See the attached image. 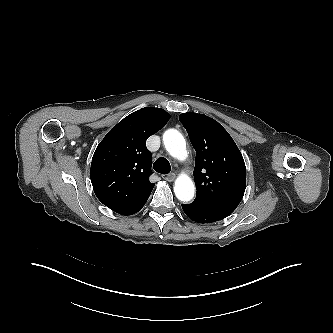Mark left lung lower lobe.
Listing matches in <instances>:
<instances>
[{
    "label": "left lung lower lobe",
    "instance_id": "0a47b994",
    "mask_svg": "<svg viewBox=\"0 0 333 333\" xmlns=\"http://www.w3.org/2000/svg\"><path fill=\"white\" fill-rule=\"evenodd\" d=\"M182 209L190 219L198 223H212L227 217L221 212L196 202L182 204Z\"/></svg>",
    "mask_w": 333,
    "mask_h": 333
}]
</instances>
